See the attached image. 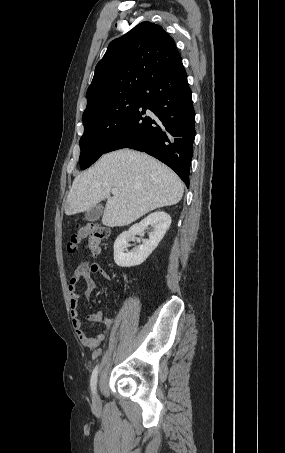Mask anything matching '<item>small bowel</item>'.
<instances>
[{
    "label": "small bowel",
    "instance_id": "small-bowel-1",
    "mask_svg": "<svg viewBox=\"0 0 285 453\" xmlns=\"http://www.w3.org/2000/svg\"><path fill=\"white\" fill-rule=\"evenodd\" d=\"M94 274H99L103 279L110 280L109 274L104 271L98 263L84 260L76 266L68 284L73 327L80 342L83 346L90 350L98 348V346L105 340L115 323L114 319L107 318L102 311H98L87 317L88 322H98L103 325L102 330L96 336H90L82 326L79 316L80 295L77 292L78 284L81 279L85 281L86 290L84 292V296L87 299L90 298L91 294L97 287V284L93 278Z\"/></svg>",
    "mask_w": 285,
    "mask_h": 453
}]
</instances>
